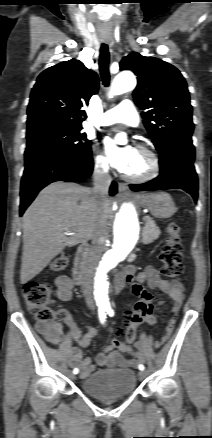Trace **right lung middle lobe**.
Returning a JSON list of instances; mask_svg holds the SVG:
<instances>
[{
    "label": "right lung middle lobe",
    "instance_id": "obj_1",
    "mask_svg": "<svg viewBox=\"0 0 212 438\" xmlns=\"http://www.w3.org/2000/svg\"><path fill=\"white\" fill-rule=\"evenodd\" d=\"M82 127L43 125L27 130V147L42 146L62 150L89 149L91 141Z\"/></svg>",
    "mask_w": 212,
    "mask_h": 438
}]
</instances>
